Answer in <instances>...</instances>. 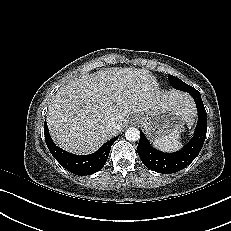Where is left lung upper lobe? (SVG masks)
Segmentation results:
<instances>
[{"label": "left lung upper lobe", "mask_w": 231, "mask_h": 231, "mask_svg": "<svg viewBox=\"0 0 231 231\" xmlns=\"http://www.w3.org/2000/svg\"><path fill=\"white\" fill-rule=\"evenodd\" d=\"M168 80L171 86H173L175 89L185 91L188 93H191L192 91L196 90L195 88L189 86L188 84L184 83L182 80L175 76L168 75Z\"/></svg>", "instance_id": "left-lung-upper-lobe-1"}]
</instances>
